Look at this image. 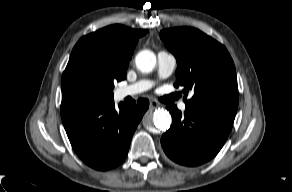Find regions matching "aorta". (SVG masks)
Instances as JSON below:
<instances>
[{
    "instance_id": "aorta-1",
    "label": "aorta",
    "mask_w": 292,
    "mask_h": 192,
    "mask_svg": "<svg viewBox=\"0 0 292 192\" xmlns=\"http://www.w3.org/2000/svg\"><path fill=\"white\" fill-rule=\"evenodd\" d=\"M136 66L141 72H151L156 66V56L149 50L139 52L135 59ZM172 122L170 113L164 109L156 110L152 116L143 119V125L149 130L166 131Z\"/></svg>"
}]
</instances>
